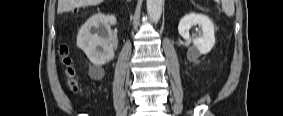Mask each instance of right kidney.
<instances>
[{"mask_svg":"<svg viewBox=\"0 0 283 116\" xmlns=\"http://www.w3.org/2000/svg\"><path fill=\"white\" fill-rule=\"evenodd\" d=\"M116 23L114 15L98 13L91 16L79 30L77 46L96 66L104 65L114 57L118 39L110 25Z\"/></svg>","mask_w":283,"mask_h":116,"instance_id":"ca27d5eb","label":"right kidney"}]
</instances>
